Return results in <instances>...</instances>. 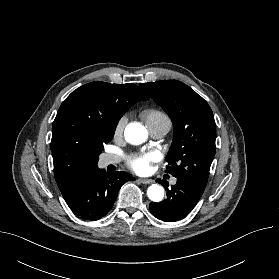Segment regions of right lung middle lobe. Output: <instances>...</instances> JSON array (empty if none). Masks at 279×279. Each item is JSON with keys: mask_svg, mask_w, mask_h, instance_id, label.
I'll use <instances>...</instances> for the list:
<instances>
[{"mask_svg": "<svg viewBox=\"0 0 279 279\" xmlns=\"http://www.w3.org/2000/svg\"><path fill=\"white\" fill-rule=\"evenodd\" d=\"M113 135L114 134L109 135L104 141H101L99 144L95 146L94 153L97 161L99 154L104 150L103 144L108 143L112 139Z\"/></svg>", "mask_w": 279, "mask_h": 279, "instance_id": "1", "label": "right lung middle lobe"}]
</instances>
